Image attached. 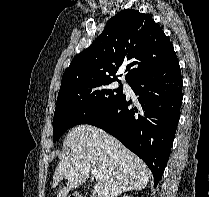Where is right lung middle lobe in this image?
I'll return each mask as SVG.
<instances>
[{
	"label": "right lung middle lobe",
	"mask_w": 209,
	"mask_h": 197,
	"mask_svg": "<svg viewBox=\"0 0 209 197\" xmlns=\"http://www.w3.org/2000/svg\"><path fill=\"white\" fill-rule=\"evenodd\" d=\"M113 81L79 83L60 89L54 112L53 142L70 127L88 123L124 96L122 86L111 88Z\"/></svg>",
	"instance_id": "dd1d6c3e"
}]
</instances>
